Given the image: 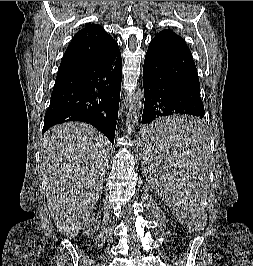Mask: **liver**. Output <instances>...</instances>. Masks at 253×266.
I'll return each mask as SVG.
<instances>
[{"mask_svg":"<svg viewBox=\"0 0 253 266\" xmlns=\"http://www.w3.org/2000/svg\"><path fill=\"white\" fill-rule=\"evenodd\" d=\"M110 143L93 126L68 122L46 132L41 156L48 208L59 231L73 239L99 200Z\"/></svg>","mask_w":253,"mask_h":266,"instance_id":"1","label":"liver"}]
</instances>
